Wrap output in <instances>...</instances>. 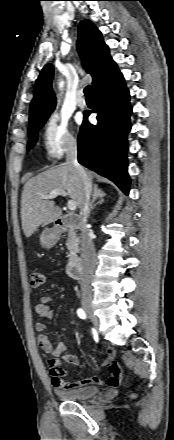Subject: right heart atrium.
I'll return each instance as SVG.
<instances>
[{"label":"right heart atrium","instance_id":"right-heart-atrium-1","mask_svg":"<svg viewBox=\"0 0 174 440\" xmlns=\"http://www.w3.org/2000/svg\"><path fill=\"white\" fill-rule=\"evenodd\" d=\"M42 146L46 159L50 162L60 159L76 146V138L67 120L55 113L47 118L42 129Z\"/></svg>","mask_w":174,"mask_h":440}]
</instances>
